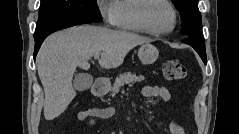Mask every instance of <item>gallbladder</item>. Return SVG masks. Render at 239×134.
I'll return each mask as SVG.
<instances>
[{"instance_id": "gallbladder-1", "label": "gallbladder", "mask_w": 239, "mask_h": 134, "mask_svg": "<svg viewBox=\"0 0 239 134\" xmlns=\"http://www.w3.org/2000/svg\"><path fill=\"white\" fill-rule=\"evenodd\" d=\"M93 83L92 76L88 74H78L74 79V88L78 91H84L91 87Z\"/></svg>"}]
</instances>
